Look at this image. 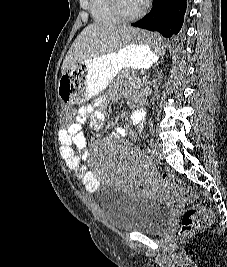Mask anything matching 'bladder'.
Returning a JSON list of instances; mask_svg holds the SVG:
<instances>
[{
	"instance_id": "1",
	"label": "bladder",
	"mask_w": 227,
	"mask_h": 267,
	"mask_svg": "<svg viewBox=\"0 0 227 267\" xmlns=\"http://www.w3.org/2000/svg\"><path fill=\"white\" fill-rule=\"evenodd\" d=\"M99 194V205L108 224L122 231L161 234L171 211L155 197H139L114 185H105Z\"/></svg>"
}]
</instances>
